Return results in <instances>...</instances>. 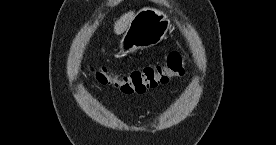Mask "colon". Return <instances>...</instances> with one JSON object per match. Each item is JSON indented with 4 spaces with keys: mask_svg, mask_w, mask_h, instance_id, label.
I'll return each mask as SVG.
<instances>
[{
    "mask_svg": "<svg viewBox=\"0 0 276 145\" xmlns=\"http://www.w3.org/2000/svg\"><path fill=\"white\" fill-rule=\"evenodd\" d=\"M185 66L184 56L172 52L166 62L160 65L136 68L127 73H114L103 67L93 68L91 72L99 83L111 86L123 94H141L183 75Z\"/></svg>",
    "mask_w": 276,
    "mask_h": 145,
    "instance_id": "obj_1",
    "label": "colon"
}]
</instances>
